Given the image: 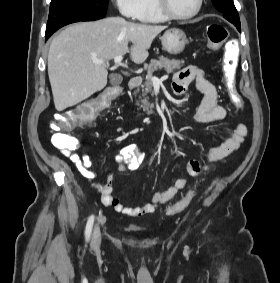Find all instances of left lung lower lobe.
<instances>
[{
    "instance_id": "0a47b994",
    "label": "left lung lower lobe",
    "mask_w": 280,
    "mask_h": 283,
    "mask_svg": "<svg viewBox=\"0 0 280 283\" xmlns=\"http://www.w3.org/2000/svg\"><path fill=\"white\" fill-rule=\"evenodd\" d=\"M234 26H236V28L238 29V31H241V26L240 24H236V23H232Z\"/></svg>"
}]
</instances>
